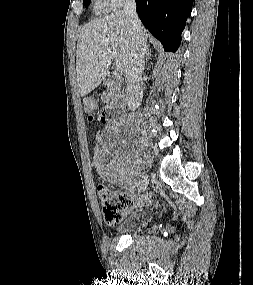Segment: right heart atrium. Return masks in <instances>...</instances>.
I'll return each instance as SVG.
<instances>
[{"mask_svg": "<svg viewBox=\"0 0 253 285\" xmlns=\"http://www.w3.org/2000/svg\"><path fill=\"white\" fill-rule=\"evenodd\" d=\"M103 6L109 10H116L122 7L129 0H100Z\"/></svg>", "mask_w": 253, "mask_h": 285, "instance_id": "right-heart-atrium-1", "label": "right heart atrium"}]
</instances>
